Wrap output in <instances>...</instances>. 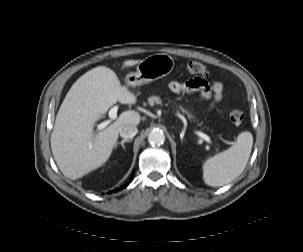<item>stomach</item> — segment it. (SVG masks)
Masks as SVG:
<instances>
[{"instance_id": "stomach-1", "label": "stomach", "mask_w": 303, "mask_h": 252, "mask_svg": "<svg viewBox=\"0 0 303 252\" xmlns=\"http://www.w3.org/2000/svg\"><path fill=\"white\" fill-rule=\"evenodd\" d=\"M174 68V60L167 54L150 55L139 62L136 72L125 77L127 87H136L167 76Z\"/></svg>"}]
</instances>
